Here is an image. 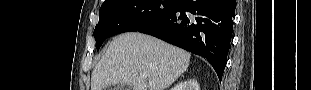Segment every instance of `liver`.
<instances>
[{
    "label": "liver",
    "mask_w": 311,
    "mask_h": 90,
    "mask_svg": "<svg viewBox=\"0 0 311 90\" xmlns=\"http://www.w3.org/2000/svg\"><path fill=\"white\" fill-rule=\"evenodd\" d=\"M190 57L185 50L152 36L125 33L113 39L93 69L91 90L119 84L133 90H165L187 71Z\"/></svg>",
    "instance_id": "6515ba94"
}]
</instances>
